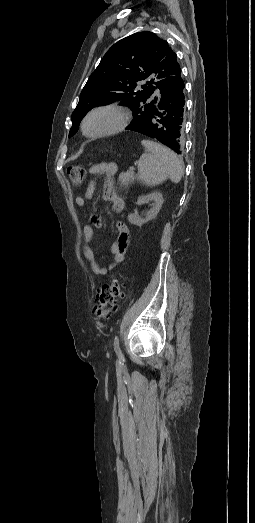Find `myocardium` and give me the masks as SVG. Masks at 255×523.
<instances>
[{"label":"myocardium","mask_w":255,"mask_h":523,"mask_svg":"<svg viewBox=\"0 0 255 523\" xmlns=\"http://www.w3.org/2000/svg\"><path fill=\"white\" fill-rule=\"evenodd\" d=\"M100 112H107L117 117L118 123L105 131L101 132H95L90 133L87 131L86 126L89 121V119ZM132 119V112L126 108L116 106V105H100L96 106L92 109H90L83 117L81 124H80V130L82 134L89 139H100V138H106L110 137L116 134H119L126 130V128L129 126L130 121Z\"/></svg>","instance_id":"f54148a6"}]
</instances>
